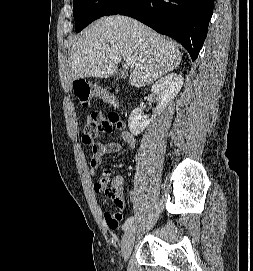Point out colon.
<instances>
[{
    "label": "colon",
    "instance_id": "1",
    "mask_svg": "<svg viewBox=\"0 0 253 271\" xmlns=\"http://www.w3.org/2000/svg\"><path fill=\"white\" fill-rule=\"evenodd\" d=\"M74 91L82 106H89L93 101L99 100L107 104L116 103V94L104 87L89 83L79 79L74 82ZM113 119H118L116 114H111ZM107 175V173H105ZM97 192H103L110 199L116 211L105 213L106 224L110 228H117L123 220V210L125 207L122 184L115 180L109 181L106 177L96 183Z\"/></svg>",
    "mask_w": 253,
    "mask_h": 271
}]
</instances>
